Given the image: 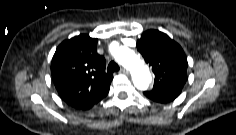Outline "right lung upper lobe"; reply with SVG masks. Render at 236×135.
Segmentation results:
<instances>
[{
  "instance_id": "obj_1",
  "label": "right lung upper lobe",
  "mask_w": 236,
  "mask_h": 135,
  "mask_svg": "<svg viewBox=\"0 0 236 135\" xmlns=\"http://www.w3.org/2000/svg\"><path fill=\"white\" fill-rule=\"evenodd\" d=\"M97 38L79 35L63 41L53 56L51 74L63 101L77 106L102 96L113 76L105 72V59L97 53Z\"/></svg>"
}]
</instances>
